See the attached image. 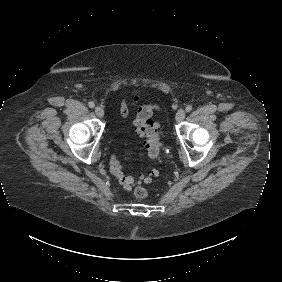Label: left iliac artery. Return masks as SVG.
Returning a JSON list of instances; mask_svg holds the SVG:
<instances>
[{
  "mask_svg": "<svg viewBox=\"0 0 282 282\" xmlns=\"http://www.w3.org/2000/svg\"><path fill=\"white\" fill-rule=\"evenodd\" d=\"M192 110V106L191 105H188L187 107H186V112H190Z\"/></svg>",
  "mask_w": 282,
  "mask_h": 282,
  "instance_id": "44dca946",
  "label": "left iliac artery"
}]
</instances>
